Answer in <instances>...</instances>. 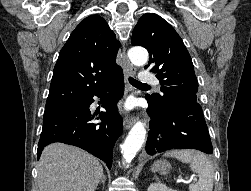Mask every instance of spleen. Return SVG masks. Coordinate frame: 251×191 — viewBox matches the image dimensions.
Returning a JSON list of instances; mask_svg holds the SVG:
<instances>
[{
    "label": "spleen",
    "instance_id": "3e777b00",
    "mask_svg": "<svg viewBox=\"0 0 251 191\" xmlns=\"http://www.w3.org/2000/svg\"><path fill=\"white\" fill-rule=\"evenodd\" d=\"M167 157H177L183 163H189L190 169L198 173V181L190 183L189 191H212L214 169L206 155L197 149H172L166 151Z\"/></svg>",
    "mask_w": 251,
    "mask_h": 191
}]
</instances>
